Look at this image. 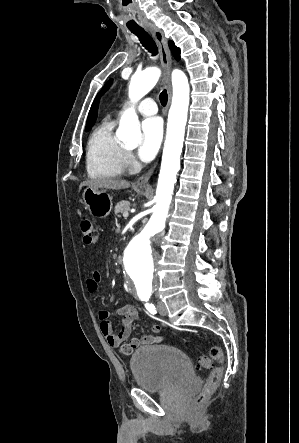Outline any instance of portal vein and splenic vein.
<instances>
[{
  "mask_svg": "<svg viewBox=\"0 0 299 443\" xmlns=\"http://www.w3.org/2000/svg\"><path fill=\"white\" fill-rule=\"evenodd\" d=\"M128 216H129V213H128V212H124V213H123V217H124V218H128Z\"/></svg>",
  "mask_w": 299,
  "mask_h": 443,
  "instance_id": "obj_1",
  "label": "portal vein and splenic vein"
}]
</instances>
